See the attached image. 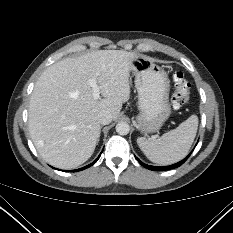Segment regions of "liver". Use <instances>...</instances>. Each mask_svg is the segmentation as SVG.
I'll return each mask as SVG.
<instances>
[{
	"label": "liver",
	"instance_id": "1",
	"mask_svg": "<svg viewBox=\"0 0 233 233\" xmlns=\"http://www.w3.org/2000/svg\"><path fill=\"white\" fill-rule=\"evenodd\" d=\"M135 53L98 50L66 58L38 78L29 104V131L40 156L50 165L72 169L93 154L100 132L98 117L116 119L130 98ZM95 78L104 98L94 99L88 80Z\"/></svg>",
	"mask_w": 233,
	"mask_h": 233
}]
</instances>
